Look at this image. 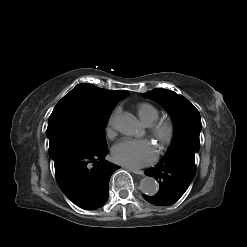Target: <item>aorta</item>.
I'll return each instance as SVG.
<instances>
[{
  "label": "aorta",
  "mask_w": 247,
  "mask_h": 247,
  "mask_svg": "<svg viewBox=\"0 0 247 247\" xmlns=\"http://www.w3.org/2000/svg\"><path fill=\"white\" fill-rule=\"evenodd\" d=\"M117 129L123 135L135 136L139 131V124L132 114L125 113L117 119ZM140 189L144 194L153 196L158 192L159 185L155 178L147 176L140 181Z\"/></svg>",
  "instance_id": "obj_1"
}]
</instances>
